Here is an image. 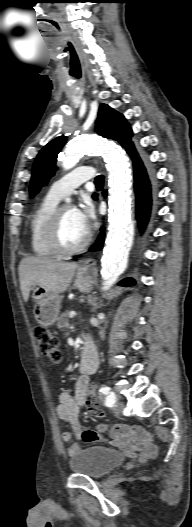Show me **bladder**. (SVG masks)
<instances>
[{
    "label": "bladder",
    "mask_w": 192,
    "mask_h": 527,
    "mask_svg": "<svg viewBox=\"0 0 192 527\" xmlns=\"http://www.w3.org/2000/svg\"><path fill=\"white\" fill-rule=\"evenodd\" d=\"M125 456L106 446H90L78 451L70 459L69 465L73 473L90 478H102L118 468Z\"/></svg>",
    "instance_id": "31cf9c89"
}]
</instances>
